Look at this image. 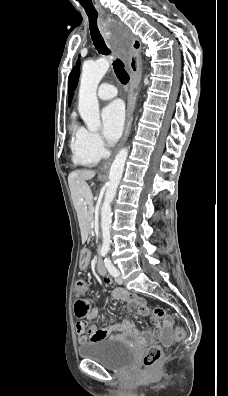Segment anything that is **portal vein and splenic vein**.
<instances>
[{"label":"portal vein and splenic vein","mask_w":228,"mask_h":396,"mask_svg":"<svg viewBox=\"0 0 228 396\" xmlns=\"http://www.w3.org/2000/svg\"><path fill=\"white\" fill-rule=\"evenodd\" d=\"M91 226H92V227L94 226V222H92Z\"/></svg>","instance_id":"portal-vein-and-splenic-vein-1"}]
</instances>
